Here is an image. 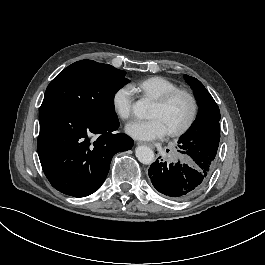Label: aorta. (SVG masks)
<instances>
[{
	"instance_id": "aorta-1",
	"label": "aorta",
	"mask_w": 265,
	"mask_h": 265,
	"mask_svg": "<svg viewBox=\"0 0 265 265\" xmlns=\"http://www.w3.org/2000/svg\"><path fill=\"white\" fill-rule=\"evenodd\" d=\"M148 103L146 99H141L133 105V113L137 118L146 119L149 117ZM135 155L142 164L150 165L154 162V152L150 147L138 146L135 149Z\"/></svg>"
}]
</instances>
